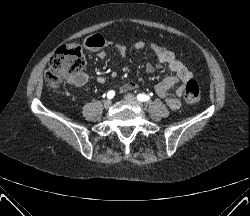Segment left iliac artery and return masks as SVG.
<instances>
[{
	"label": "left iliac artery",
	"instance_id": "obj_1",
	"mask_svg": "<svg viewBox=\"0 0 250 216\" xmlns=\"http://www.w3.org/2000/svg\"><path fill=\"white\" fill-rule=\"evenodd\" d=\"M137 99L141 102H145V101H149L150 97L148 95H145V94H138Z\"/></svg>",
	"mask_w": 250,
	"mask_h": 216
}]
</instances>
